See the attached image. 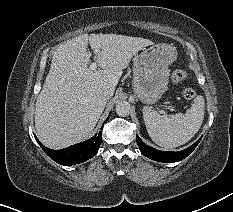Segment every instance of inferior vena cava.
<instances>
[{
	"instance_id": "inferior-vena-cava-1",
	"label": "inferior vena cava",
	"mask_w": 233,
	"mask_h": 212,
	"mask_svg": "<svg viewBox=\"0 0 233 212\" xmlns=\"http://www.w3.org/2000/svg\"><path fill=\"white\" fill-rule=\"evenodd\" d=\"M113 90L109 89L108 87H103L101 90H100V94L106 98V99H109L110 97H112L113 95Z\"/></svg>"
}]
</instances>
